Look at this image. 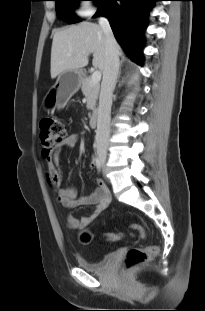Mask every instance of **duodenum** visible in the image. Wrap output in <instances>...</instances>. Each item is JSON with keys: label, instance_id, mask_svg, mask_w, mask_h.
I'll return each instance as SVG.
<instances>
[{"label": "duodenum", "instance_id": "410a0bca", "mask_svg": "<svg viewBox=\"0 0 205 311\" xmlns=\"http://www.w3.org/2000/svg\"><path fill=\"white\" fill-rule=\"evenodd\" d=\"M89 123L92 126H96L98 123V110L97 109H93L90 113L89 116Z\"/></svg>", "mask_w": 205, "mask_h": 311}]
</instances>
